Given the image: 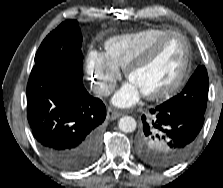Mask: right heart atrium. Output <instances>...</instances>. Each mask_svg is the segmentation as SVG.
Here are the masks:
<instances>
[{
  "instance_id": "right-heart-atrium-1",
  "label": "right heart atrium",
  "mask_w": 223,
  "mask_h": 188,
  "mask_svg": "<svg viewBox=\"0 0 223 188\" xmlns=\"http://www.w3.org/2000/svg\"><path fill=\"white\" fill-rule=\"evenodd\" d=\"M86 74L93 91L99 96L109 95L120 77L119 68L103 52L92 50L86 59Z\"/></svg>"
}]
</instances>
